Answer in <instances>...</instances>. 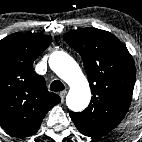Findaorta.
<instances>
[{
  "instance_id": "1",
  "label": "aorta",
  "mask_w": 142,
  "mask_h": 142,
  "mask_svg": "<svg viewBox=\"0 0 142 142\" xmlns=\"http://www.w3.org/2000/svg\"><path fill=\"white\" fill-rule=\"evenodd\" d=\"M49 66L70 87L66 99L68 108L84 110L89 105L91 90L77 62L64 51H54L50 55Z\"/></svg>"
}]
</instances>
